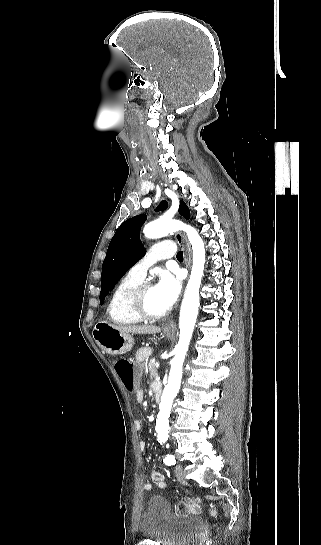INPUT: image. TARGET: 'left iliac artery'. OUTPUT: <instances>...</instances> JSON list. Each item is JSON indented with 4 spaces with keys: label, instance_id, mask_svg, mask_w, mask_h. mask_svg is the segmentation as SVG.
I'll list each match as a JSON object with an SVG mask.
<instances>
[{
    "label": "left iliac artery",
    "instance_id": "1",
    "mask_svg": "<svg viewBox=\"0 0 321 545\" xmlns=\"http://www.w3.org/2000/svg\"><path fill=\"white\" fill-rule=\"evenodd\" d=\"M164 463L166 465H169V466H172V465H175L176 464V460L174 458L173 455H167L165 458H164Z\"/></svg>",
    "mask_w": 321,
    "mask_h": 545
}]
</instances>
